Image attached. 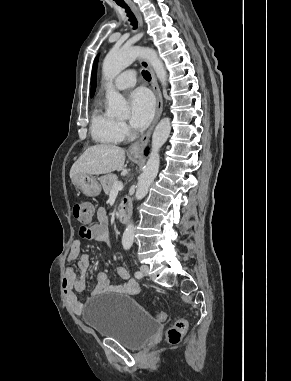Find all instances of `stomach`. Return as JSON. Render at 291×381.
<instances>
[{"label": "stomach", "mask_w": 291, "mask_h": 381, "mask_svg": "<svg viewBox=\"0 0 291 381\" xmlns=\"http://www.w3.org/2000/svg\"><path fill=\"white\" fill-rule=\"evenodd\" d=\"M134 157L137 158V156ZM72 182L86 196H98L101 192L98 180L92 175L79 173L74 176Z\"/></svg>", "instance_id": "obj_1"}]
</instances>
